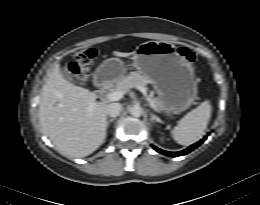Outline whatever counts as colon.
<instances>
[{"instance_id": "1", "label": "colon", "mask_w": 260, "mask_h": 205, "mask_svg": "<svg viewBox=\"0 0 260 205\" xmlns=\"http://www.w3.org/2000/svg\"><path fill=\"white\" fill-rule=\"evenodd\" d=\"M180 54L189 62H193L194 56L187 49H180ZM97 55V49L94 46H88L80 49L73 54V62L69 66V71L73 78L79 82L84 83L88 77L90 66Z\"/></svg>"}]
</instances>
